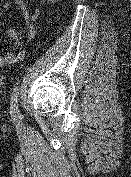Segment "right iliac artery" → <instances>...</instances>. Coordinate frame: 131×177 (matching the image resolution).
Segmentation results:
<instances>
[{
	"mask_svg": "<svg viewBox=\"0 0 131 177\" xmlns=\"http://www.w3.org/2000/svg\"><path fill=\"white\" fill-rule=\"evenodd\" d=\"M18 97H19V87L16 86L13 89L11 95V114L12 116L16 117L18 114Z\"/></svg>",
	"mask_w": 131,
	"mask_h": 177,
	"instance_id": "82829eb1",
	"label": "right iliac artery"
}]
</instances>
